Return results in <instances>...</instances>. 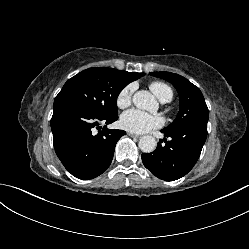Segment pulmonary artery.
Segmentation results:
<instances>
[{
	"label": "pulmonary artery",
	"mask_w": 249,
	"mask_h": 249,
	"mask_svg": "<svg viewBox=\"0 0 249 249\" xmlns=\"http://www.w3.org/2000/svg\"><path fill=\"white\" fill-rule=\"evenodd\" d=\"M161 102H162V103H166V102H168V101H167V100H162Z\"/></svg>",
	"instance_id": "e3ab8cb5"
}]
</instances>
